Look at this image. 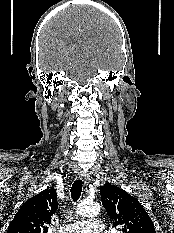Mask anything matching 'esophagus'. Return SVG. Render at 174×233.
Returning a JSON list of instances; mask_svg holds the SVG:
<instances>
[{
	"mask_svg": "<svg viewBox=\"0 0 174 233\" xmlns=\"http://www.w3.org/2000/svg\"><path fill=\"white\" fill-rule=\"evenodd\" d=\"M78 178H79L80 180H82V181L84 182L85 185H88V180H89V178H88L87 175H85V174H83V173H80L79 176H78Z\"/></svg>",
	"mask_w": 174,
	"mask_h": 233,
	"instance_id": "esophagus-1",
	"label": "esophagus"
}]
</instances>
